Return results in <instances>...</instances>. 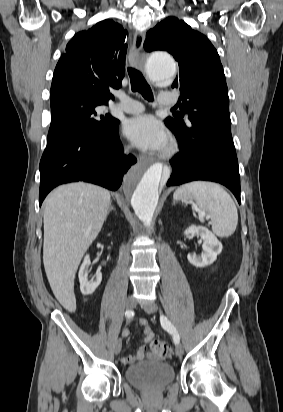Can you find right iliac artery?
I'll use <instances>...</instances> for the list:
<instances>
[{
  "label": "right iliac artery",
  "instance_id": "1",
  "mask_svg": "<svg viewBox=\"0 0 283 412\" xmlns=\"http://www.w3.org/2000/svg\"><path fill=\"white\" fill-rule=\"evenodd\" d=\"M133 315H134V312H133L132 310H127V311L125 312V316H126L127 318H132Z\"/></svg>",
  "mask_w": 283,
  "mask_h": 412
}]
</instances>
